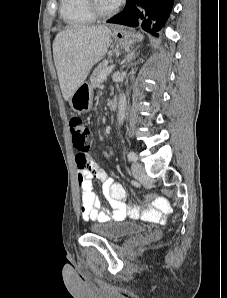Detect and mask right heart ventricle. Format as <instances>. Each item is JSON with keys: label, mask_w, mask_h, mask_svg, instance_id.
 <instances>
[{"label": "right heart ventricle", "mask_w": 227, "mask_h": 298, "mask_svg": "<svg viewBox=\"0 0 227 298\" xmlns=\"http://www.w3.org/2000/svg\"><path fill=\"white\" fill-rule=\"evenodd\" d=\"M60 14L64 22L72 27L88 26L95 20L87 0H60Z\"/></svg>", "instance_id": "e07e8e85"}]
</instances>
